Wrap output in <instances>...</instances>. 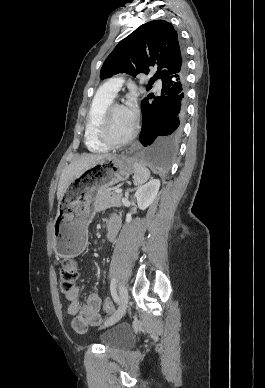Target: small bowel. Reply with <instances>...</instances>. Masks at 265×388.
Masks as SVG:
<instances>
[{
    "label": "small bowel",
    "mask_w": 265,
    "mask_h": 388,
    "mask_svg": "<svg viewBox=\"0 0 265 388\" xmlns=\"http://www.w3.org/2000/svg\"><path fill=\"white\" fill-rule=\"evenodd\" d=\"M112 221L115 227L110 230L108 223ZM120 228V220L117 215H112L107 222V238L114 241ZM66 296V312L73 317L72 326L78 333L86 331L88 326H96L102 322L100 311L102 309V299L96 293H90L85 304L81 305L80 288L75 286Z\"/></svg>",
    "instance_id": "obj_1"
}]
</instances>
